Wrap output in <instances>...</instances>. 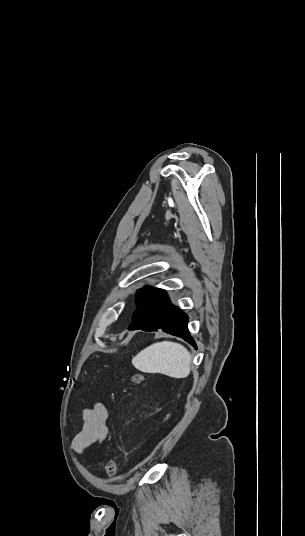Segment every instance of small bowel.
I'll use <instances>...</instances> for the list:
<instances>
[{"instance_id":"c3829d8e","label":"small bowel","mask_w":305,"mask_h":536,"mask_svg":"<svg viewBox=\"0 0 305 536\" xmlns=\"http://www.w3.org/2000/svg\"><path fill=\"white\" fill-rule=\"evenodd\" d=\"M107 417V408L102 403H97L93 408L83 411L82 429L73 441V447L77 452L82 453L92 444L99 443L106 438L108 434V429L105 425Z\"/></svg>"}]
</instances>
